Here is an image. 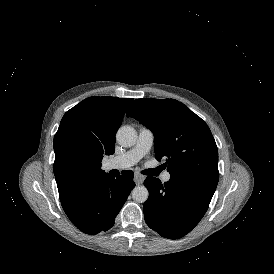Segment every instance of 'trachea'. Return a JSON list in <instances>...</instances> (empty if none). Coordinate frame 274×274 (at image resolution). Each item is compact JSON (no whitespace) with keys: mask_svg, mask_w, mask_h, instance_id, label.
Here are the masks:
<instances>
[{"mask_svg":"<svg viewBox=\"0 0 274 274\" xmlns=\"http://www.w3.org/2000/svg\"><path fill=\"white\" fill-rule=\"evenodd\" d=\"M142 174L150 175V170H144V171H142Z\"/></svg>","mask_w":274,"mask_h":274,"instance_id":"3493384b","label":"trachea"}]
</instances>
